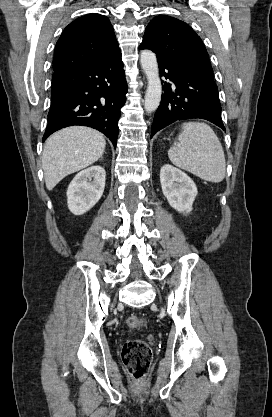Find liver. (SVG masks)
Segmentation results:
<instances>
[{"label": "liver", "mask_w": 272, "mask_h": 417, "mask_svg": "<svg viewBox=\"0 0 272 417\" xmlns=\"http://www.w3.org/2000/svg\"><path fill=\"white\" fill-rule=\"evenodd\" d=\"M105 147L103 134L89 127H68L51 135L42 155L47 189L52 190L66 176L95 163Z\"/></svg>", "instance_id": "liver-1"}]
</instances>
